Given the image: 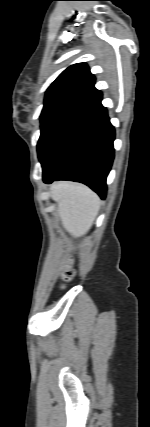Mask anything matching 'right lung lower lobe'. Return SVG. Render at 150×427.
<instances>
[{
	"label": "right lung lower lobe",
	"instance_id": "98d812e1",
	"mask_svg": "<svg viewBox=\"0 0 150 427\" xmlns=\"http://www.w3.org/2000/svg\"><path fill=\"white\" fill-rule=\"evenodd\" d=\"M114 137L107 110L99 99L81 110L57 138L42 164L43 181L81 182L104 199L114 158Z\"/></svg>",
	"mask_w": 150,
	"mask_h": 427
}]
</instances>
